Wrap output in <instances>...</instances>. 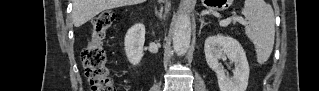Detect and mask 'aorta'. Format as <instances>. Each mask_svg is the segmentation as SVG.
<instances>
[{
    "label": "aorta",
    "mask_w": 319,
    "mask_h": 91,
    "mask_svg": "<svg viewBox=\"0 0 319 91\" xmlns=\"http://www.w3.org/2000/svg\"><path fill=\"white\" fill-rule=\"evenodd\" d=\"M191 40V19L188 11L180 13L174 27L173 48L178 56L186 54Z\"/></svg>",
    "instance_id": "762f6f07"
}]
</instances>
